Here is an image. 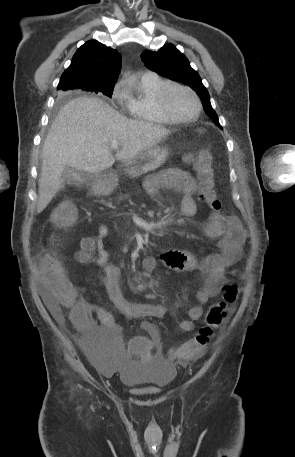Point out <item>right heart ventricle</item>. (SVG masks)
<instances>
[{
  "label": "right heart ventricle",
  "mask_w": 295,
  "mask_h": 457,
  "mask_svg": "<svg viewBox=\"0 0 295 457\" xmlns=\"http://www.w3.org/2000/svg\"><path fill=\"white\" fill-rule=\"evenodd\" d=\"M168 81L158 75L142 76L133 93L127 94V110L129 115L143 123L167 124L171 122L162 114L157 104V93Z\"/></svg>",
  "instance_id": "obj_1"
}]
</instances>
